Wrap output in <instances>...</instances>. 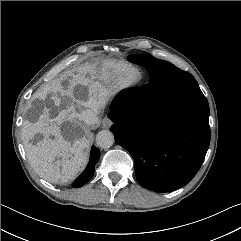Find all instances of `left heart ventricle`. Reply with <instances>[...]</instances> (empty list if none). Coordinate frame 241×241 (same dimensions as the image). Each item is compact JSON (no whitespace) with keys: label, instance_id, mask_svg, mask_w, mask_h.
Segmentation results:
<instances>
[{"label":"left heart ventricle","instance_id":"1","mask_svg":"<svg viewBox=\"0 0 241 241\" xmlns=\"http://www.w3.org/2000/svg\"><path fill=\"white\" fill-rule=\"evenodd\" d=\"M138 76V71L136 69H132L130 72H129V77L131 78H135Z\"/></svg>","mask_w":241,"mask_h":241}]
</instances>
